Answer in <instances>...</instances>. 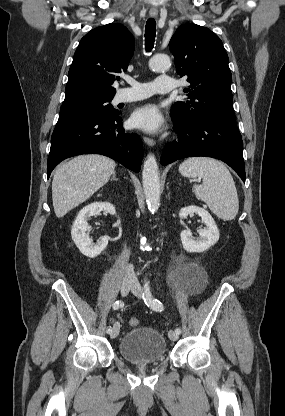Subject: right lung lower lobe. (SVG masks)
Returning <instances> with one entry per match:
<instances>
[{"label":"right lung lower lobe","instance_id":"right-lung-lower-lobe-1","mask_svg":"<svg viewBox=\"0 0 285 416\" xmlns=\"http://www.w3.org/2000/svg\"><path fill=\"white\" fill-rule=\"evenodd\" d=\"M80 154L105 155L139 172L143 146L136 134L125 132L119 115L59 119L51 138L48 178L61 161Z\"/></svg>","mask_w":285,"mask_h":416}]
</instances>
